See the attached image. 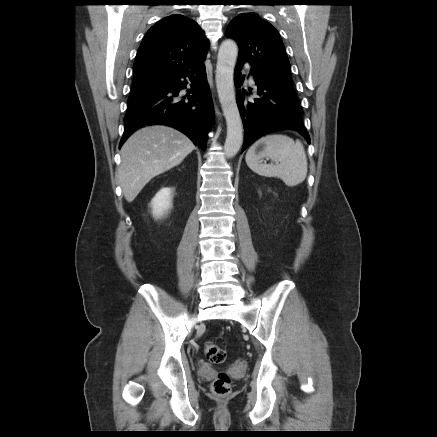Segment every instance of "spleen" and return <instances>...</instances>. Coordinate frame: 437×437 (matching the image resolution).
<instances>
[{
  "label": "spleen",
  "mask_w": 437,
  "mask_h": 437,
  "mask_svg": "<svg viewBox=\"0 0 437 437\" xmlns=\"http://www.w3.org/2000/svg\"><path fill=\"white\" fill-rule=\"evenodd\" d=\"M260 146L262 150L257 152ZM266 157L276 164L262 163L261 159ZM245 160L253 172L265 177L280 178L289 187L302 183L308 172L303 144L282 134L260 138L249 148Z\"/></svg>",
  "instance_id": "1"
}]
</instances>
